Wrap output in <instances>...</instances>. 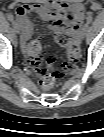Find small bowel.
Returning a JSON list of instances; mask_svg holds the SVG:
<instances>
[{
	"mask_svg": "<svg viewBox=\"0 0 104 137\" xmlns=\"http://www.w3.org/2000/svg\"><path fill=\"white\" fill-rule=\"evenodd\" d=\"M38 14L55 30H66L78 33L84 18V5L49 1L43 4H25L15 9L17 23L20 26L22 50L28 52V43L33 33L30 15Z\"/></svg>",
	"mask_w": 104,
	"mask_h": 137,
	"instance_id": "c3829d8e",
	"label": "small bowel"
}]
</instances>
